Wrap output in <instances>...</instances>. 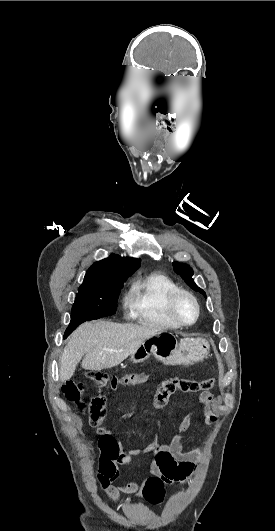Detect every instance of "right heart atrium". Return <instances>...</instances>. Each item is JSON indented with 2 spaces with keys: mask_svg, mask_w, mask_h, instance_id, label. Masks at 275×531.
<instances>
[{
  "mask_svg": "<svg viewBox=\"0 0 275 531\" xmlns=\"http://www.w3.org/2000/svg\"><path fill=\"white\" fill-rule=\"evenodd\" d=\"M124 302H125V306L128 308H131L134 303L131 295H127L124 299Z\"/></svg>",
  "mask_w": 275,
  "mask_h": 531,
  "instance_id": "d8ad5b80",
  "label": "right heart atrium"
}]
</instances>
